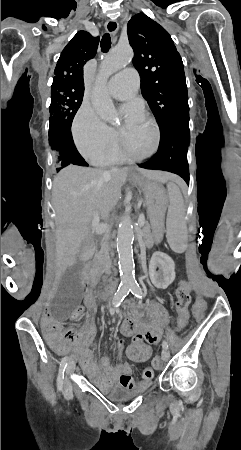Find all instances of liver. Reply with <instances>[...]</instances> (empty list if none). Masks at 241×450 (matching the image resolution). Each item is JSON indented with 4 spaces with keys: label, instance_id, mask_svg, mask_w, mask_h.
Masks as SVG:
<instances>
[{
    "label": "liver",
    "instance_id": "1",
    "mask_svg": "<svg viewBox=\"0 0 241 450\" xmlns=\"http://www.w3.org/2000/svg\"><path fill=\"white\" fill-rule=\"evenodd\" d=\"M132 170L140 172L147 180L166 184L177 182V176L156 170L123 168V170H96L67 166L53 180L52 198L56 214V270L55 280L81 262L91 260L92 224L96 218L107 220L111 210L120 200L121 188Z\"/></svg>",
    "mask_w": 241,
    "mask_h": 450
}]
</instances>
